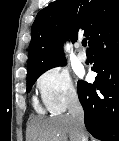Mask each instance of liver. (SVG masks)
<instances>
[{
  "instance_id": "1",
  "label": "liver",
  "mask_w": 119,
  "mask_h": 141,
  "mask_svg": "<svg viewBox=\"0 0 119 141\" xmlns=\"http://www.w3.org/2000/svg\"><path fill=\"white\" fill-rule=\"evenodd\" d=\"M28 141H79L75 125L70 115L48 119L34 118L29 126Z\"/></svg>"
}]
</instances>
